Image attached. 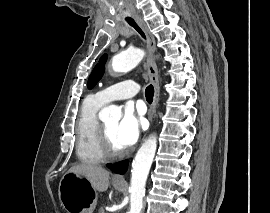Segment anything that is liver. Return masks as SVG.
Masks as SVG:
<instances>
[{
  "mask_svg": "<svg viewBox=\"0 0 270 213\" xmlns=\"http://www.w3.org/2000/svg\"><path fill=\"white\" fill-rule=\"evenodd\" d=\"M68 172L84 176L95 191L105 192L108 189L110 173L101 166L83 162L72 166Z\"/></svg>",
  "mask_w": 270,
  "mask_h": 213,
  "instance_id": "obj_1",
  "label": "liver"
}]
</instances>
